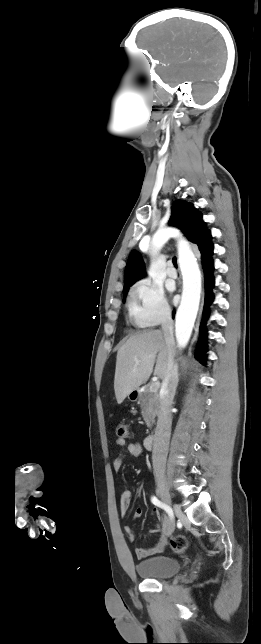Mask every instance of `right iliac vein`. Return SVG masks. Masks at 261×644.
<instances>
[{"label":"right iliac vein","mask_w":261,"mask_h":644,"mask_svg":"<svg viewBox=\"0 0 261 644\" xmlns=\"http://www.w3.org/2000/svg\"><path fill=\"white\" fill-rule=\"evenodd\" d=\"M157 491H158V493H159V495H160V497H161V499L163 500L164 503H166L168 505L172 504L171 503V497H170V494L168 492L165 480L162 477L157 478ZM173 508H174L176 516L180 517L182 515L181 510L177 506H173ZM174 529H175V522L172 519L168 523V525L166 526V528L164 530V534L166 536H169V535H171L173 533Z\"/></svg>","instance_id":"obj_1"}]
</instances>
